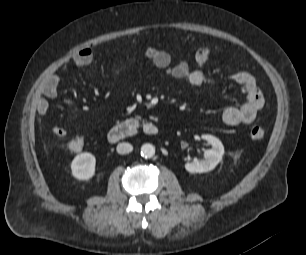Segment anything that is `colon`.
I'll return each mask as SVG.
<instances>
[{
	"label": "colon",
	"instance_id": "5ec220e1",
	"mask_svg": "<svg viewBox=\"0 0 306 255\" xmlns=\"http://www.w3.org/2000/svg\"><path fill=\"white\" fill-rule=\"evenodd\" d=\"M265 135V130L262 126L260 125H255L251 128L250 130V136L254 140H260L264 137ZM84 147V139L81 136H77L73 138L68 144L67 148L69 152L75 154L80 152Z\"/></svg>",
	"mask_w": 306,
	"mask_h": 255
}]
</instances>
